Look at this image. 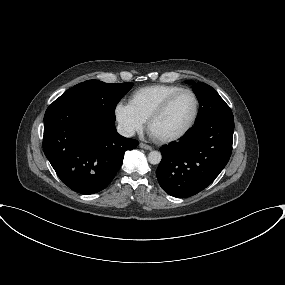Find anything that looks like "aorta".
<instances>
[{"mask_svg": "<svg viewBox=\"0 0 285 285\" xmlns=\"http://www.w3.org/2000/svg\"><path fill=\"white\" fill-rule=\"evenodd\" d=\"M161 159H162V155L158 151H151L148 154V161L153 165L159 164Z\"/></svg>", "mask_w": 285, "mask_h": 285, "instance_id": "762f6f07", "label": "aorta"}]
</instances>
